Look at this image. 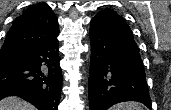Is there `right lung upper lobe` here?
I'll use <instances>...</instances> for the list:
<instances>
[{
	"label": "right lung upper lobe",
	"mask_w": 171,
	"mask_h": 110,
	"mask_svg": "<svg viewBox=\"0 0 171 110\" xmlns=\"http://www.w3.org/2000/svg\"><path fill=\"white\" fill-rule=\"evenodd\" d=\"M58 20L51 8L39 3L27 8L13 22L0 55L25 54L57 37Z\"/></svg>",
	"instance_id": "cb5924a9"
}]
</instances>
